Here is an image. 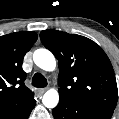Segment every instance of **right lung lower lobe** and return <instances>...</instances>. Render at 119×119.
I'll return each mask as SVG.
<instances>
[{
  "mask_svg": "<svg viewBox=\"0 0 119 119\" xmlns=\"http://www.w3.org/2000/svg\"><path fill=\"white\" fill-rule=\"evenodd\" d=\"M35 105L32 95L23 101L0 107V119H28Z\"/></svg>",
  "mask_w": 119,
  "mask_h": 119,
  "instance_id": "obj_1",
  "label": "right lung lower lobe"
}]
</instances>
